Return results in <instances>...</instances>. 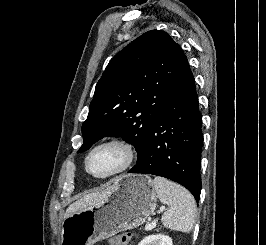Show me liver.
Masks as SVG:
<instances>
[{"label": "liver", "instance_id": "1", "mask_svg": "<svg viewBox=\"0 0 266 245\" xmlns=\"http://www.w3.org/2000/svg\"><path fill=\"white\" fill-rule=\"evenodd\" d=\"M115 187L111 185V187H107L105 191H100V193H89V195H85V197H81L80 201H76V203H72L69 205L68 209H66L64 219L73 215V213H80V211H85V209H92L94 205H99V203H103V201H108V197L110 193H113Z\"/></svg>", "mask_w": 266, "mask_h": 245}]
</instances>
